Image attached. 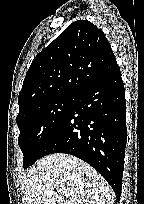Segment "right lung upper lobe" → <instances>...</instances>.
Masks as SVG:
<instances>
[{
	"instance_id": "1",
	"label": "right lung upper lobe",
	"mask_w": 144,
	"mask_h": 204,
	"mask_svg": "<svg viewBox=\"0 0 144 204\" xmlns=\"http://www.w3.org/2000/svg\"><path fill=\"white\" fill-rule=\"evenodd\" d=\"M115 66L103 31L87 20H78L32 61L18 96L19 114L52 97L78 94Z\"/></svg>"
}]
</instances>
